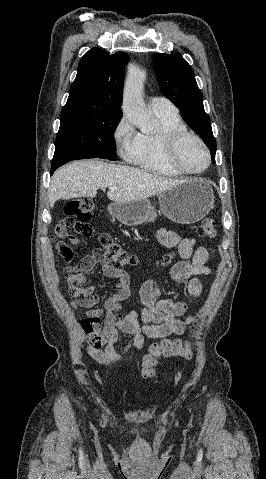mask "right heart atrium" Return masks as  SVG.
Wrapping results in <instances>:
<instances>
[{"label": "right heart atrium", "instance_id": "d8ad5b80", "mask_svg": "<svg viewBox=\"0 0 266 479\" xmlns=\"http://www.w3.org/2000/svg\"><path fill=\"white\" fill-rule=\"evenodd\" d=\"M139 134L127 117H122L113 132V141L120 156L133 162L138 151Z\"/></svg>", "mask_w": 266, "mask_h": 479}]
</instances>
